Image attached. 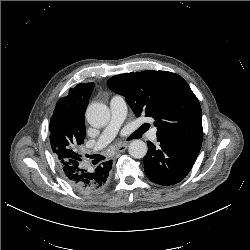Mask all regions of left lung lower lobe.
I'll return each mask as SVG.
<instances>
[{
	"label": "left lung lower lobe",
	"instance_id": "1",
	"mask_svg": "<svg viewBox=\"0 0 250 250\" xmlns=\"http://www.w3.org/2000/svg\"><path fill=\"white\" fill-rule=\"evenodd\" d=\"M155 146L148 141L144 171L152 182L169 186L183 180L199 154L201 144L184 143L158 138Z\"/></svg>",
	"mask_w": 250,
	"mask_h": 250
}]
</instances>
